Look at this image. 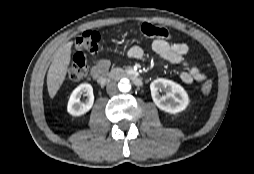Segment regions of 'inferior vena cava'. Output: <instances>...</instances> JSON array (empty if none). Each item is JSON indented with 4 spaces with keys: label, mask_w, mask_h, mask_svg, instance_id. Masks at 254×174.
Returning <instances> with one entry per match:
<instances>
[{
    "label": "inferior vena cava",
    "mask_w": 254,
    "mask_h": 174,
    "mask_svg": "<svg viewBox=\"0 0 254 174\" xmlns=\"http://www.w3.org/2000/svg\"><path fill=\"white\" fill-rule=\"evenodd\" d=\"M107 93L109 95H115L118 92L117 84L115 82H111L106 87Z\"/></svg>",
    "instance_id": "inferior-vena-cava-1"
}]
</instances>
